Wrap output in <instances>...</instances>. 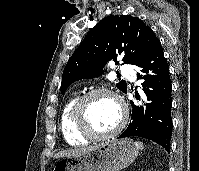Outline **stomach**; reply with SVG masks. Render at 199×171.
Segmentation results:
<instances>
[{
  "label": "stomach",
  "instance_id": "0dacf381",
  "mask_svg": "<svg viewBox=\"0 0 199 171\" xmlns=\"http://www.w3.org/2000/svg\"><path fill=\"white\" fill-rule=\"evenodd\" d=\"M139 148L130 138L110 139L92 150L58 161L53 171H120L137 157Z\"/></svg>",
  "mask_w": 199,
  "mask_h": 171
}]
</instances>
